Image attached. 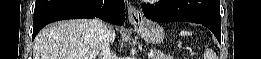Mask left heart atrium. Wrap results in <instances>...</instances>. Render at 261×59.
Returning <instances> with one entry per match:
<instances>
[{
	"label": "left heart atrium",
	"instance_id": "obj_1",
	"mask_svg": "<svg viewBox=\"0 0 261 59\" xmlns=\"http://www.w3.org/2000/svg\"><path fill=\"white\" fill-rule=\"evenodd\" d=\"M146 2H152V0H145Z\"/></svg>",
	"mask_w": 261,
	"mask_h": 59
}]
</instances>
